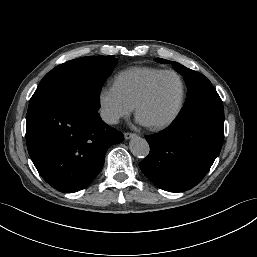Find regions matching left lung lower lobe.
<instances>
[{"instance_id":"obj_1","label":"left lung lower lobe","mask_w":257,"mask_h":257,"mask_svg":"<svg viewBox=\"0 0 257 257\" xmlns=\"http://www.w3.org/2000/svg\"><path fill=\"white\" fill-rule=\"evenodd\" d=\"M221 99L181 112L165 131L146 136L149 155L140 162L142 172L159 188L186 191L207 174L224 139Z\"/></svg>"}]
</instances>
